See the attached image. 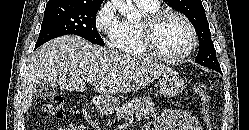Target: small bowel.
<instances>
[{"instance_id":"c3829d8e","label":"small bowel","mask_w":249,"mask_h":130,"mask_svg":"<svg viewBox=\"0 0 249 130\" xmlns=\"http://www.w3.org/2000/svg\"><path fill=\"white\" fill-rule=\"evenodd\" d=\"M59 130H86L83 125L68 124ZM142 130H202L199 121L189 111L169 110L162 112Z\"/></svg>"}]
</instances>
